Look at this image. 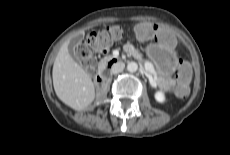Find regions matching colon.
Returning a JSON list of instances; mask_svg holds the SVG:
<instances>
[{
	"instance_id": "obj_1",
	"label": "colon",
	"mask_w": 230,
	"mask_h": 155,
	"mask_svg": "<svg viewBox=\"0 0 230 155\" xmlns=\"http://www.w3.org/2000/svg\"><path fill=\"white\" fill-rule=\"evenodd\" d=\"M122 38L123 30L120 26H108L105 29L90 33L78 44L76 53L88 69H93L96 64V59L92 54V50L105 52L113 41H118ZM189 75L190 67L185 62L179 61L176 68V76L178 79L176 93L178 96H185L187 94Z\"/></svg>"
}]
</instances>
